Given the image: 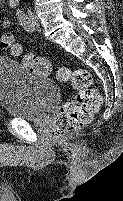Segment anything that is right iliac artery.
<instances>
[{
  "label": "right iliac artery",
  "mask_w": 123,
  "mask_h": 201,
  "mask_svg": "<svg viewBox=\"0 0 123 201\" xmlns=\"http://www.w3.org/2000/svg\"><path fill=\"white\" fill-rule=\"evenodd\" d=\"M9 3L12 8H16L19 5V0H10Z\"/></svg>",
  "instance_id": "right-iliac-artery-1"
}]
</instances>
